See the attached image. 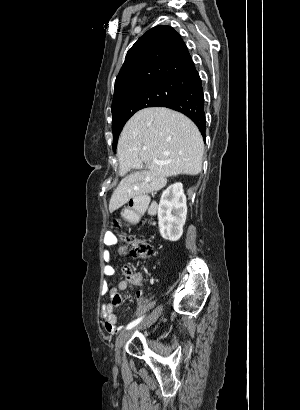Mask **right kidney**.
<instances>
[{
	"instance_id": "ca27d5eb",
	"label": "right kidney",
	"mask_w": 300,
	"mask_h": 410,
	"mask_svg": "<svg viewBox=\"0 0 300 410\" xmlns=\"http://www.w3.org/2000/svg\"><path fill=\"white\" fill-rule=\"evenodd\" d=\"M187 205L183 185L176 182L163 191L158 205V224L161 236L175 242L183 234Z\"/></svg>"
}]
</instances>
